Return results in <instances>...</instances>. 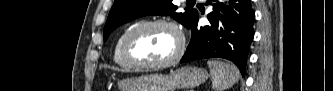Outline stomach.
<instances>
[{
  "instance_id": "1",
  "label": "stomach",
  "mask_w": 333,
  "mask_h": 91,
  "mask_svg": "<svg viewBox=\"0 0 333 91\" xmlns=\"http://www.w3.org/2000/svg\"><path fill=\"white\" fill-rule=\"evenodd\" d=\"M208 73L194 66H184L169 75L150 74L126 78L118 82L120 91H175L203 83Z\"/></svg>"
}]
</instances>
